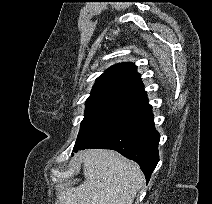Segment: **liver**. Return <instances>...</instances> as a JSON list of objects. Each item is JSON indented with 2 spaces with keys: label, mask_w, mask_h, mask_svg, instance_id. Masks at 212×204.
<instances>
[{
  "label": "liver",
  "mask_w": 212,
  "mask_h": 204,
  "mask_svg": "<svg viewBox=\"0 0 212 204\" xmlns=\"http://www.w3.org/2000/svg\"><path fill=\"white\" fill-rule=\"evenodd\" d=\"M85 180L59 191L56 204H133L145 182L140 167L112 150L78 153Z\"/></svg>",
  "instance_id": "6515ba94"
}]
</instances>
